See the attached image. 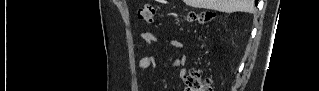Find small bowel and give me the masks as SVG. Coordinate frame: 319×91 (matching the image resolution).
Segmentation results:
<instances>
[{"label": "small bowel", "instance_id": "1", "mask_svg": "<svg viewBox=\"0 0 319 91\" xmlns=\"http://www.w3.org/2000/svg\"><path fill=\"white\" fill-rule=\"evenodd\" d=\"M142 39L145 44L147 45H153L157 42L156 36L152 32H143L142 33ZM166 44L174 49H182L184 44L181 40L179 39H170L166 42ZM187 62V57L186 56H181L179 58H176L172 62V66L178 69V75L179 78L185 79L186 78V69H185V64ZM156 65V59L153 56H145L140 59L138 68L139 70H148Z\"/></svg>", "mask_w": 319, "mask_h": 91}]
</instances>
